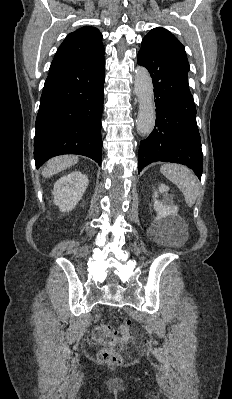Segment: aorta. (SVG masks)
<instances>
[{
	"label": "aorta",
	"instance_id": "aorta-1",
	"mask_svg": "<svg viewBox=\"0 0 232 399\" xmlns=\"http://www.w3.org/2000/svg\"><path fill=\"white\" fill-rule=\"evenodd\" d=\"M134 89L139 102L136 127L138 133L146 137L155 126V104L152 79L145 67L135 70Z\"/></svg>",
	"mask_w": 232,
	"mask_h": 399
}]
</instances>
